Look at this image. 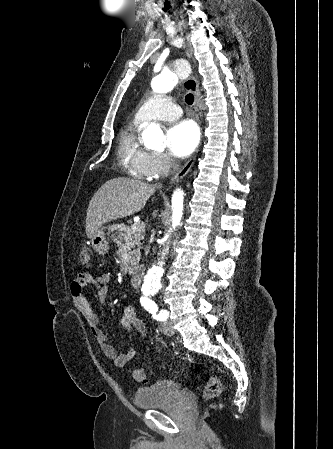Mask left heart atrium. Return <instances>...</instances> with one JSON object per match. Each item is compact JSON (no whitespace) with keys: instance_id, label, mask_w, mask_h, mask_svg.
<instances>
[{"instance_id":"1","label":"left heart atrium","mask_w":333,"mask_h":449,"mask_svg":"<svg viewBox=\"0 0 333 449\" xmlns=\"http://www.w3.org/2000/svg\"><path fill=\"white\" fill-rule=\"evenodd\" d=\"M199 139V129L191 120L177 122L167 132L169 150L177 158L189 156L197 147Z\"/></svg>"}]
</instances>
